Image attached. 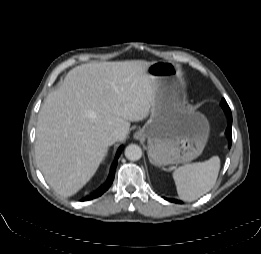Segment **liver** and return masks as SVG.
Here are the masks:
<instances>
[{
	"mask_svg": "<svg viewBox=\"0 0 261 254\" xmlns=\"http://www.w3.org/2000/svg\"><path fill=\"white\" fill-rule=\"evenodd\" d=\"M152 63L82 64L47 96L38 114L35 157L57 194H76L106 156V137L116 131L123 141L130 122L149 115L155 84L147 68Z\"/></svg>",
	"mask_w": 261,
	"mask_h": 254,
	"instance_id": "1",
	"label": "liver"
}]
</instances>
